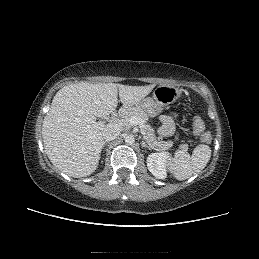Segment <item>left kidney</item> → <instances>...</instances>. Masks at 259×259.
I'll return each mask as SVG.
<instances>
[{
    "instance_id": "5707ae66",
    "label": "left kidney",
    "mask_w": 259,
    "mask_h": 259,
    "mask_svg": "<svg viewBox=\"0 0 259 259\" xmlns=\"http://www.w3.org/2000/svg\"><path fill=\"white\" fill-rule=\"evenodd\" d=\"M170 159V154L167 152L152 153L147 157L148 170L158 179L167 177L166 165Z\"/></svg>"
}]
</instances>
